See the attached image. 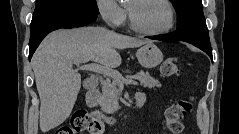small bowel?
<instances>
[{
    "mask_svg": "<svg viewBox=\"0 0 239 134\" xmlns=\"http://www.w3.org/2000/svg\"><path fill=\"white\" fill-rule=\"evenodd\" d=\"M138 94H141L146 99V94L145 93H138Z\"/></svg>",
    "mask_w": 239,
    "mask_h": 134,
    "instance_id": "c3829d8e",
    "label": "small bowel"
}]
</instances>
